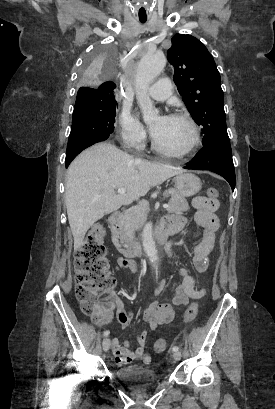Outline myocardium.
<instances>
[{"instance_id": "1", "label": "myocardium", "mask_w": 275, "mask_h": 409, "mask_svg": "<svg viewBox=\"0 0 275 409\" xmlns=\"http://www.w3.org/2000/svg\"><path fill=\"white\" fill-rule=\"evenodd\" d=\"M167 118L184 121L191 130V139L184 148L179 150H172L159 145L157 141L154 139L153 134H151V146L153 150L159 154L171 157L185 156L192 152L194 148L198 145L200 140L199 128L196 122L189 115L182 113H171L167 115Z\"/></svg>"}]
</instances>
